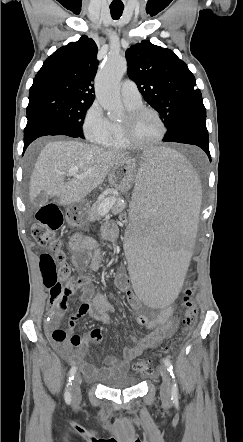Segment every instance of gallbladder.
<instances>
[{
	"label": "gallbladder",
	"instance_id": "1",
	"mask_svg": "<svg viewBox=\"0 0 243 442\" xmlns=\"http://www.w3.org/2000/svg\"><path fill=\"white\" fill-rule=\"evenodd\" d=\"M55 197H54V195H47L46 193H44V192H41V193H39L38 195H37V197L34 199V201H33V205L36 207V208H40V207H42L45 203H52V204H54L53 202H54V199Z\"/></svg>",
	"mask_w": 243,
	"mask_h": 442
}]
</instances>
